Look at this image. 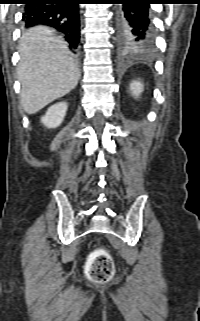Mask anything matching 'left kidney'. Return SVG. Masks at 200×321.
Instances as JSON below:
<instances>
[{
	"instance_id": "left-kidney-1",
	"label": "left kidney",
	"mask_w": 200,
	"mask_h": 321,
	"mask_svg": "<svg viewBox=\"0 0 200 321\" xmlns=\"http://www.w3.org/2000/svg\"><path fill=\"white\" fill-rule=\"evenodd\" d=\"M130 90L133 96L135 97H139V95L142 93L143 91V84L140 80H134L131 84H130Z\"/></svg>"
}]
</instances>
